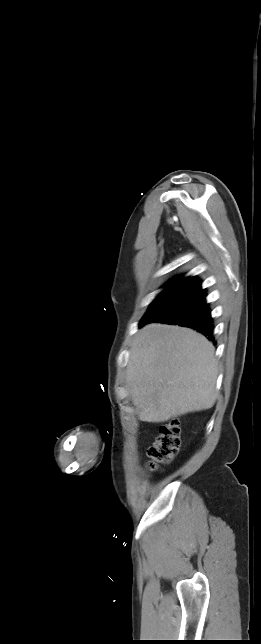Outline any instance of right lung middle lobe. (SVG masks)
Segmentation results:
<instances>
[{
    "label": "right lung middle lobe",
    "instance_id": "obj_1",
    "mask_svg": "<svg viewBox=\"0 0 261 644\" xmlns=\"http://www.w3.org/2000/svg\"><path fill=\"white\" fill-rule=\"evenodd\" d=\"M166 286V289L152 302L149 310L141 319L140 324L165 316L192 300L202 290L200 284L183 281H170Z\"/></svg>",
    "mask_w": 261,
    "mask_h": 644
}]
</instances>
